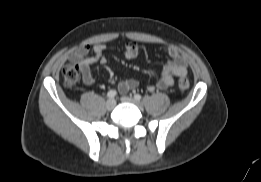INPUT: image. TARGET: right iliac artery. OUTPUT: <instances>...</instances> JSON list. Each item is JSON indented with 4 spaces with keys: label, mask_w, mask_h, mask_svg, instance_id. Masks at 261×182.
Segmentation results:
<instances>
[{
    "label": "right iliac artery",
    "mask_w": 261,
    "mask_h": 182,
    "mask_svg": "<svg viewBox=\"0 0 261 182\" xmlns=\"http://www.w3.org/2000/svg\"><path fill=\"white\" fill-rule=\"evenodd\" d=\"M116 96H117V91L116 90H110L107 93V97L110 98V99H113Z\"/></svg>",
    "instance_id": "1"
}]
</instances>
